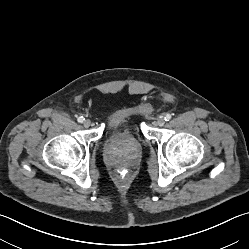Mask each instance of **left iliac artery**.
Wrapping results in <instances>:
<instances>
[{
  "mask_svg": "<svg viewBox=\"0 0 249 249\" xmlns=\"http://www.w3.org/2000/svg\"><path fill=\"white\" fill-rule=\"evenodd\" d=\"M172 118L171 114L167 113L164 116L165 121H169Z\"/></svg>",
  "mask_w": 249,
  "mask_h": 249,
  "instance_id": "left-iliac-artery-1",
  "label": "left iliac artery"
}]
</instances>
